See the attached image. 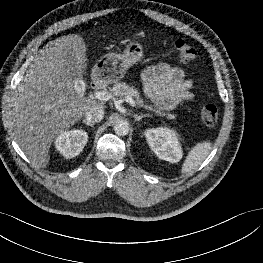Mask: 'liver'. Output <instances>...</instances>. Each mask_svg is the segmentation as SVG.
Wrapping results in <instances>:
<instances>
[{
  "instance_id": "1",
  "label": "liver",
  "mask_w": 263,
  "mask_h": 263,
  "mask_svg": "<svg viewBox=\"0 0 263 263\" xmlns=\"http://www.w3.org/2000/svg\"><path fill=\"white\" fill-rule=\"evenodd\" d=\"M84 39L69 34L49 42L41 49L17 86L11 99L9 119L14 137L28 159L45 168L52 142L68 130L92 106L103 102L75 96L70 71L84 77L87 68ZM68 55L74 61L68 60Z\"/></svg>"
}]
</instances>
